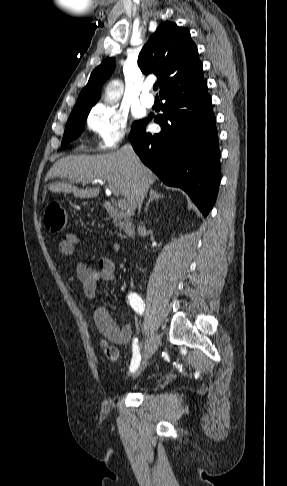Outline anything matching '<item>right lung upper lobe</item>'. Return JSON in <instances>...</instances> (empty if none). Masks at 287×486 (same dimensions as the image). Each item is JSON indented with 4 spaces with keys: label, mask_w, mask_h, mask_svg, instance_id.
<instances>
[{
    "label": "right lung upper lobe",
    "mask_w": 287,
    "mask_h": 486,
    "mask_svg": "<svg viewBox=\"0 0 287 486\" xmlns=\"http://www.w3.org/2000/svg\"><path fill=\"white\" fill-rule=\"evenodd\" d=\"M138 65L143 73L153 72L159 77L160 95L204 78L203 66L190 32L170 21L157 27L142 48ZM114 67V59L107 58L94 69L71 114L91 109L100 99L101 87L112 74Z\"/></svg>",
    "instance_id": "cb5924a9"
}]
</instances>
